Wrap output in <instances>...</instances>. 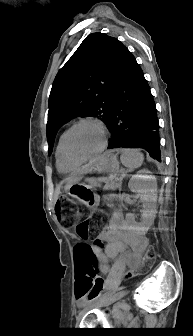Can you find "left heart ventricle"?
I'll list each match as a JSON object with an SVG mask.
<instances>
[{"label": "left heart ventricle", "instance_id": "b2bd125f", "mask_svg": "<svg viewBox=\"0 0 193 336\" xmlns=\"http://www.w3.org/2000/svg\"><path fill=\"white\" fill-rule=\"evenodd\" d=\"M102 131L93 124L76 127L69 136V148L74 155L85 156L97 151L103 143Z\"/></svg>", "mask_w": 193, "mask_h": 336}]
</instances>
